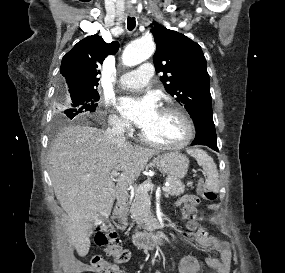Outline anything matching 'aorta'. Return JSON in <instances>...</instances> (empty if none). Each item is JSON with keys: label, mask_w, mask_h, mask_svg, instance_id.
<instances>
[{"label": "aorta", "mask_w": 285, "mask_h": 273, "mask_svg": "<svg viewBox=\"0 0 285 273\" xmlns=\"http://www.w3.org/2000/svg\"><path fill=\"white\" fill-rule=\"evenodd\" d=\"M155 43L151 39H140L130 43L124 50L122 60L126 66H135L149 59L155 52Z\"/></svg>", "instance_id": "762f6f07"}]
</instances>
